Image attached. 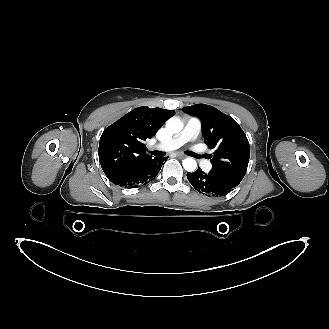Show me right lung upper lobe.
<instances>
[{
	"mask_svg": "<svg viewBox=\"0 0 329 329\" xmlns=\"http://www.w3.org/2000/svg\"><path fill=\"white\" fill-rule=\"evenodd\" d=\"M173 110L138 107L107 127L99 142V161L108 177L125 173L152 156L145 141L164 125Z\"/></svg>",
	"mask_w": 329,
	"mask_h": 329,
	"instance_id": "obj_1",
	"label": "right lung upper lobe"
}]
</instances>
